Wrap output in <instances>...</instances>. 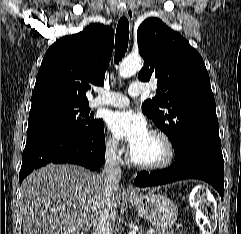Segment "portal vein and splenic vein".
Here are the masks:
<instances>
[{"label": "portal vein and splenic vein", "mask_w": 241, "mask_h": 234, "mask_svg": "<svg viewBox=\"0 0 241 234\" xmlns=\"http://www.w3.org/2000/svg\"><path fill=\"white\" fill-rule=\"evenodd\" d=\"M152 232H153V231L151 230V231H149V233H148V234H152Z\"/></svg>", "instance_id": "1"}]
</instances>
